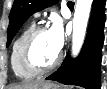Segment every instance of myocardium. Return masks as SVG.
Returning <instances> with one entry per match:
<instances>
[{
    "label": "myocardium",
    "instance_id": "f54148a6",
    "mask_svg": "<svg viewBox=\"0 0 107 89\" xmlns=\"http://www.w3.org/2000/svg\"><path fill=\"white\" fill-rule=\"evenodd\" d=\"M48 28L44 26L35 27L27 37L21 53V62L23 67L30 73L40 75L55 69L62 60V54L59 52L56 59L47 66L40 65L33 59V48L37 38L44 32H48Z\"/></svg>",
    "mask_w": 107,
    "mask_h": 89
}]
</instances>
